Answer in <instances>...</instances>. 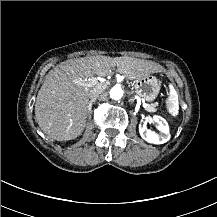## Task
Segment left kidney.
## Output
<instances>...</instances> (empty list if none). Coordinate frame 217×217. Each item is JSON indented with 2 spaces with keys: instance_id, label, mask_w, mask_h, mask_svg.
<instances>
[{
  "instance_id": "obj_1",
  "label": "left kidney",
  "mask_w": 217,
  "mask_h": 217,
  "mask_svg": "<svg viewBox=\"0 0 217 217\" xmlns=\"http://www.w3.org/2000/svg\"><path fill=\"white\" fill-rule=\"evenodd\" d=\"M154 122L157 123L156 128L160 133H156L147 128L146 124L139 125V133L141 137L148 143L163 144L170 139L169 126L167 121L161 116H153Z\"/></svg>"
}]
</instances>
